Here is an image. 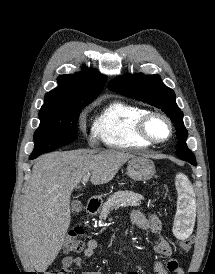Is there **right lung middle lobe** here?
Returning a JSON list of instances; mask_svg holds the SVG:
<instances>
[{
  "mask_svg": "<svg viewBox=\"0 0 215 274\" xmlns=\"http://www.w3.org/2000/svg\"><path fill=\"white\" fill-rule=\"evenodd\" d=\"M86 105L44 103L39 111L41 123L34 133L35 147L29 159L73 142L77 137L78 116Z\"/></svg>",
  "mask_w": 215,
  "mask_h": 274,
  "instance_id": "obj_1",
  "label": "right lung middle lobe"
}]
</instances>
